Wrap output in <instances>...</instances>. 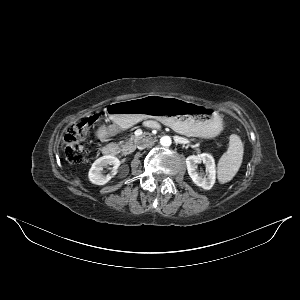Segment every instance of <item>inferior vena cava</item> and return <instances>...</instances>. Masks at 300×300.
Returning a JSON list of instances; mask_svg holds the SVG:
<instances>
[{
    "instance_id": "602c4592",
    "label": "inferior vena cava",
    "mask_w": 300,
    "mask_h": 300,
    "mask_svg": "<svg viewBox=\"0 0 300 300\" xmlns=\"http://www.w3.org/2000/svg\"><path fill=\"white\" fill-rule=\"evenodd\" d=\"M153 144H154L153 138L144 137L141 140H139L137 147H138V149L142 150V149H145L146 147L151 146Z\"/></svg>"
}]
</instances>
